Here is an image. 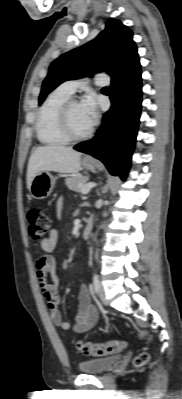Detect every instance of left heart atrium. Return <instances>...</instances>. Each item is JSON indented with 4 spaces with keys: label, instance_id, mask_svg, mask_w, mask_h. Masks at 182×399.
<instances>
[{
    "label": "left heart atrium",
    "instance_id": "left-heart-atrium-1",
    "mask_svg": "<svg viewBox=\"0 0 182 399\" xmlns=\"http://www.w3.org/2000/svg\"><path fill=\"white\" fill-rule=\"evenodd\" d=\"M80 106L84 115L92 125L98 116L97 104L94 96L93 95L85 96L82 102L80 103Z\"/></svg>",
    "mask_w": 182,
    "mask_h": 399
}]
</instances>
